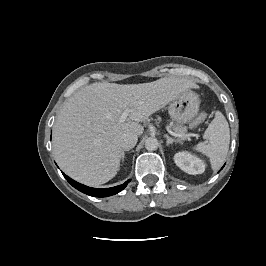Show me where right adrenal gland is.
I'll return each instance as SVG.
<instances>
[{"mask_svg": "<svg viewBox=\"0 0 266 266\" xmlns=\"http://www.w3.org/2000/svg\"><path fill=\"white\" fill-rule=\"evenodd\" d=\"M124 151H129V149L128 150H124ZM124 151L122 153V163L124 162V158H125V152Z\"/></svg>", "mask_w": 266, "mask_h": 266, "instance_id": "obj_1", "label": "right adrenal gland"}]
</instances>
